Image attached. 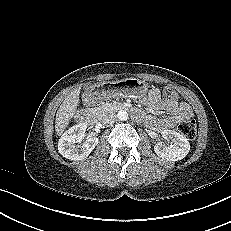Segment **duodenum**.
<instances>
[{"mask_svg": "<svg viewBox=\"0 0 231 231\" xmlns=\"http://www.w3.org/2000/svg\"><path fill=\"white\" fill-rule=\"evenodd\" d=\"M108 90V88H103V91H107ZM117 108L118 109H120V110H130V111H132V115H133V117L135 118V119H141V112H139V111H133L132 110V107L129 105V104H127V103H123V104H119L118 106H117ZM95 117H96V115L94 114V111H93V108L92 107H88L86 110H85V112H84V115H83V117H82V121H86V122H92V121H94L95 120Z\"/></svg>", "mask_w": 231, "mask_h": 231, "instance_id": "410a0bca", "label": "duodenum"}]
</instances>
